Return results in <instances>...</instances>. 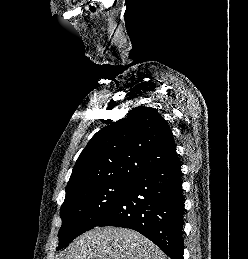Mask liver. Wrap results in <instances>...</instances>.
<instances>
[{"label": "liver", "mask_w": 248, "mask_h": 259, "mask_svg": "<svg viewBox=\"0 0 248 259\" xmlns=\"http://www.w3.org/2000/svg\"><path fill=\"white\" fill-rule=\"evenodd\" d=\"M59 259H169L140 233L117 227H96L78 238Z\"/></svg>", "instance_id": "liver-1"}]
</instances>
